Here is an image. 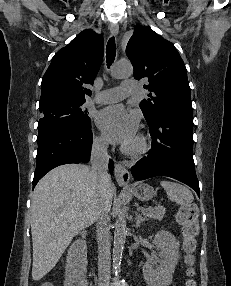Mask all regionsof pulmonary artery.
Masks as SVG:
<instances>
[{
	"label": "pulmonary artery",
	"instance_id": "pulmonary-artery-1",
	"mask_svg": "<svg viewBox=\"0 0 231 286\" xmlns=\"http://www.w3.org/2000/svg\"><path fill=\"white\" fill-rule=\"evenodd\" d=\"M137 89L138 85L135 80H124L118 87L108 88L98 92L94 96L93 101L98 104L118 102L126 96L135 94Z\"/></svg>",
	"mask_w": 231,
	"mask_h": 286
}]
</instances>
